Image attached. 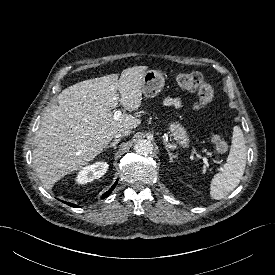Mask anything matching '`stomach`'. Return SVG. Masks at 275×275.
Masks as SVG:
<instances>
[{
	"mask_svg": "<svg viewBox=\"0 0 275 275\" xmlns=\"http://www.w3.org/2000/svg\"><path fill=\"white\" fill-rule=\"evenodd\" d=\"M165 85L164 75L157 70H148L142 79V93L147 98L158 95ZM170 136L181 147L188 148L190 144L186 129L178 122H170L168 125Z\"/></svg>",
	"mask_w": 275,
	"mask_h": 275,
	"instance_id": "1",
	"label": "stomach"
}]
</instances>
